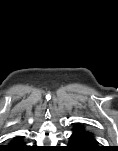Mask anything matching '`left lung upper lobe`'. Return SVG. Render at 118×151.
Masks as SVG:
<instances>
[{"label": "left lung upper lobe", "mask_w": 118, "mask_h": 151, "mask_svg": "<svg viewBox=\"0 0 118 151\" xmlns=\"http://www.w3.org/2000/svg\"><path fill=\"white\" fill-rule=\"evenodd\" d=\"M75 128H78V129L84 131V132L87 133L90 137H92V138L94 139V135H93L91 132L85 130V128L82 127L80 124H79L78 126H75ZM94 140H95V139H94Z\"/></svg>", "instance_id": "obj_1"}]
</instances>
